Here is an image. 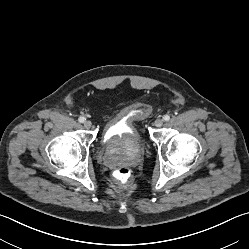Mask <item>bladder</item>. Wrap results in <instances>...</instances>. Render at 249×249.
<instances>
[{
	"label": "bladder",
	"mask_w": 249,
	"mask_h": 249,
	"mask_svg": "<svg viewBox=\"0 0 249 249\" xmlns=\"http://www.w3.org/2000/svg\"><path fill=\"white\" fill-rule=\"evenodd\" d=\"M150 108L143 102L127 106L119 115L105 125L102 145L106 152H112L127 145L143 149L144 142L139 131V123L149 116Z\"/></svg>",
	"instance_id": "1"
}]
</instances>
